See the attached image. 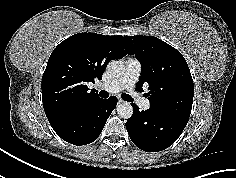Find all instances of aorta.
<instances>
[{
  "label": "aorta",
  "instance_id": "obj_1",
  "mask_svg": "<svg viewBox=\"0 0 236 178\" xmlns=\"http://www.w3.org/2000/svg\"><path fill=\"white\" fill-rule=\"evenodd\" d=\"M108 72L114 76L119 77L124 73V67L121 61L113 60L107 66ZM117 114L119 117L128 119L133 114V108L129 102H123L117 106Z\"/></svg>",
  "mask_w": 236,
  "mask_h": 178
}]
</instances>
